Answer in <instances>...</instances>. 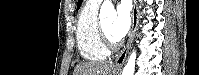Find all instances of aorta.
Returning <instances> with one entry per match:
<instances>
[{"instance_id": "aorta-1", "label": "aorta", "mask_w": 199, "mask_h": 75, "mask_svg": "<svg viewBox=\"0 0 199 75\" xmlns=\"http://www.w3.org/2000/svg\"><path fill=\"white\" fill-rule=\"evenodd\" d=\"M117 16L114 6L110 0H104L99 14L100 21L105 20L106 18L115 19ZM135 61H136V52L133 51L130 57L128 58L127 64L125 65L122 75H133L135 71Z\"/></svg>"}]
</instances>
